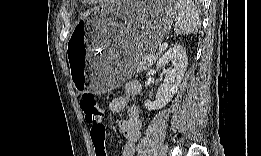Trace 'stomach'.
<instances>
[{"mask_svg":"<svg viewBox=\"0 0 261 156\" xmlns=\"http://www.w3.org/2000/svg\"><path fill=\"white\" fill-rule=\"evenodd\" d=\"M174 13L171 3L114 1L86 13L67 47L75 89L101 93L132 76L143 57L164 40ZM77 38L81 56L75 49Z\"/></svg>","mask_w":261,"mask_h":156,"instance_id":"stomach-1","label":"stomach"}]
</instances>
